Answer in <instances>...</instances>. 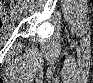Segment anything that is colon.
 <instances>
[{
    "instance_id": "obj_1",
    "label": "colon",
    "mask_w": 93,
    "mask_h": 83,
    "mask_svg": "<svg viewBox=\"0 0 93 83\" xmlns=\"http://www.w3.org/2000/svg\"><path fill=\"white\" fill-rule=\"evenodd\" d=\"M16 1H4L2 2V7L0 11L1 23L6 24L14 20V14L17 12V9L11 7L12 4H15Z\"/></svg>"
}]
</instances>
